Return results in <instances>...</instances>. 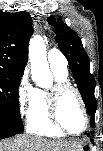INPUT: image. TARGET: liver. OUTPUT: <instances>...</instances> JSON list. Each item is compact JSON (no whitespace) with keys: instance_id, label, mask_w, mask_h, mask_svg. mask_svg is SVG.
<instances>
[{"instance_id":"obj_1","label":"liver","mask_w":103,"mask_h":151,"mask_svg":"<svg viewBox=\"0 0 103 151\" xmlns=\"http://www.w3.org/2000/svg\"><path fill=\"white\" fill-rule=\"evenodd\" d=\"M81 146L75 142L49 140L27 134L18 135L12 140L0 143V151H79Z\"/></svg>"}]
</instances>
